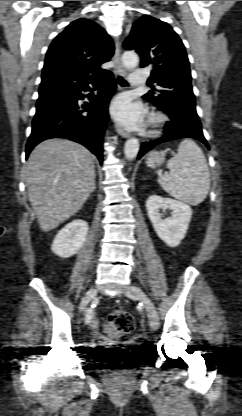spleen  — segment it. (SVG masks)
<instances>
[{"instance_id":"obj_1","label":"spleen","mask_w":242,"mask_h":416,"mask_svg":"<svg viewBox=\"0 0 242 416\" xmlns=\"http://www.w3.org/2000/svg\"><path fill=\"white\" fill-rule=\"evenodd\" d=\"M177 151L167 163L170 174L159 175L158 183L172 197L198 205L204 201L210 188L206 158L201 148L190 139L181 141Z\"/></svg>"}]
</instances>
